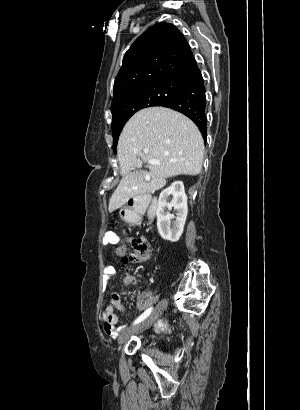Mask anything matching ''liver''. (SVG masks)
Wrapping results in <instances>:
<instances>
[{
  "label": "liver",
  "mask_w": 300,
  "mask_h": 410,
  "mask_svg": "<svg viewBox=\"0 0 300 410\" xmlns=\"http://www.w3.org/2000/svg\"><path fill=\"white\" fill-rule=\"evenodd\" d=\"M203 155L202 135L185 115L165 107L137 112L118 140L117 157L123 178L110 198L109 212L130 198L161 189L166 178L199 174ZM151 159L160 164H149ZM143 162L148 163L149 172H131L134 167H142Z\"/></svg>",
  "instance_id": "liver-1"
}]
</instances>
